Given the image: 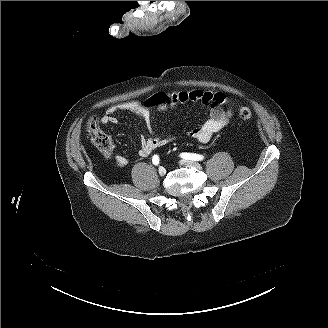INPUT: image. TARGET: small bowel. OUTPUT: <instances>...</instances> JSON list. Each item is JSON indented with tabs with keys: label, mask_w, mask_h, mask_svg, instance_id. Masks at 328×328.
<instances>
[{
	"label": "small bowel",
	"mask_w": 328,
	"mask_h": 328,
	"mask_svg": "<svg viewBox=\"0 0 328 328\" xmlns=\"http://www.w3.org/2000/svg\"><path fill=\"white\" fill-rule=\"evenodd\" d=\"M171 104L174 106L187 103H200L210 107L209 118L200 126L194 127L187 131V136L199 141L207 143L213 135L221 131L230 121L233 110L226 107V97L222 93H213L207 90H193L188 92L171 93ZM164 108H161L160 112ZM131 112L142 119L149 135H142L138 155L140 157H148L156 149L166 145L174 139L173 135L155 136L154 115L145 105L137 101H125L109 106L105 114L100 118L104 125H116L118 119L116 114L119 112ZM106 157H111L112 151L103 153ZM115 164L119 167L126 166L128 159L124 155H116L113 157Z\"/></svg>",
	"instance_id": "small-bowel-1"
}]
</instances>
